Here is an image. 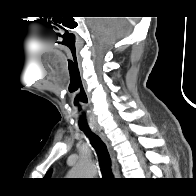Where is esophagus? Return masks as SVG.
Here are the masks:
<instances>
[{"mask_svg": "<svg viewBox=\"0 0 196 196\" xmlns=\"http://www.w3.org/2000/svg\"><path fill=\"white\" fill-rule=\"evenodd\" d=\"M93 130L98 133V135L101 137V139L104 141V143L107 146V149L109 151L110 157H111V163H112V170L114 173L115 178L120 177V170H119V164L116 159V153L111 145V142L107 135L105 134L104 130L100 126L93 127Z\"/></svg>", "mask_w": 196, "mask_h": 196, "instance_id": "34e87169", "label": "esophagus"}]
</instances>
